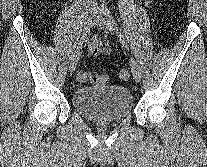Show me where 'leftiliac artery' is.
Segmentation results:
<instances>
[{
  "instance_id": "obj_1",
  "label": "left iliac artery",
  "mask_w": 207,
  "mask_h": 167,
  "mask_svg": "<svg viewBox=\"0 0 207 167\" xmlns=\"http://www.w3.org/2000/svg\"><path fill=\"white\" fill-rule=\"evenodd\" d=\"M109 21L111 22L113 29L115 30L120 42L128 49L127 40H126L122 30L118 26L117 22L115 21V19L111 15H109Z\"/></svg>"
}]
</instances>
